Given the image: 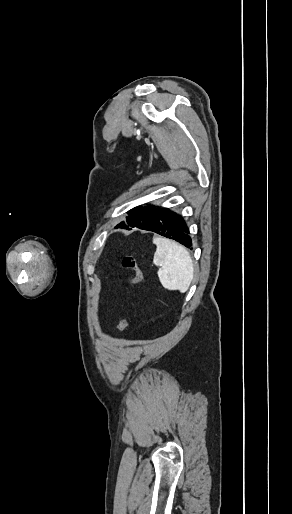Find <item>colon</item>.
I'll return each mask as SVG.
<instances>
[{"label": "colon", "instance_id": "obj_1", "mask_svg": "<svg viewBox=\"0 0 292 514\" xmlns=\"http://www.w3.org/2000/svg\"><path fill=\"white\" fill-rule=\"evenodd\" d=\"M122 268L128 274V284L131 288H133L142 278V271L136 265L134 258L132 255H126L122 258L121 261ZM129 327V317H124L120 320L118 325L116 326V331L121 333L127 330Z\"/></svg>", "mask_w": 292, "mask_h": 514}]
</instances>
